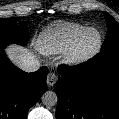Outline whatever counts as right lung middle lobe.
Segmentation results:
<instances>
[{
  "instance_id": "1",
  "label": "right lung middle lobe",
  "mask_w": 119,
  "mask_h": 119,
  "mask_svg": "<svg viewBox=\"0 0 119 119\" xmlns=\"http://www.w3.org/2000/svg\"><path fill=\"white\" fill-rule=\"evenodd\" d=\"M18 18L0 19V42L26 45L28 36L17 25Z\"/></svg>"
}]
</instances>
